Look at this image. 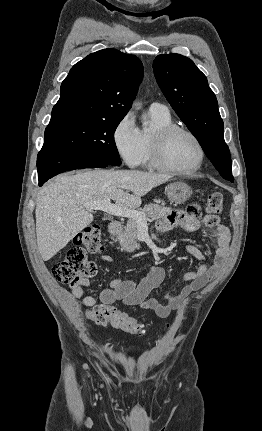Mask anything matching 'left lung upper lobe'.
<instances>
[{"instance_id":"left-lung-upper-lobe-1","label":"left lung upper lobe","mask_w":262,"mask_h":431,"mask_svg":"<svg viewBox=\"0 0 262 431\" xmlns=\"http://www.w3.org/2000/svg\"><path fill=\"white\" fill-rule=\"evenodd\" d=\"M157 83L177 115L197 138L220 175L234 182L230 151L216 96L194 62L180 54H162L153 63Z\"/></svg>"}]
</instances>
